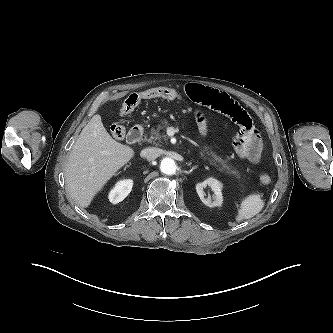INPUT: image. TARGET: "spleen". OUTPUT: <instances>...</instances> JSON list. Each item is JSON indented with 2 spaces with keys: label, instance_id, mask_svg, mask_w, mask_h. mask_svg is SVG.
Masks as SVG:
<instances>
[{
  "label": "spleen",
  "instance_id": "3e777b00",
  "mask_svg": "<svg viewBox=\"0 0 333 333\" xmlns=\"http://www.w3.org/2000/svg\"><path fill=\"white\" fill-rule=\"evenodd\" d=\"M264 207V202L260 195L252 194L247 196L242 202L238 215L236 217L237 222H241L244 219H250L257 215Z\"/></svg>",
  "mask_w": 333,
  "mask_h": 333
}]
</instances>
